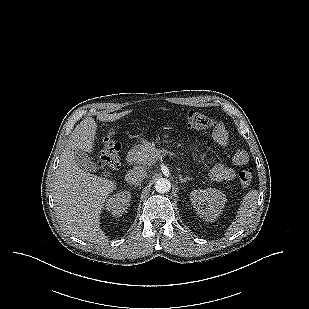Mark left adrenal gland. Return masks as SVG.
I'll use <instances>...</instances> for the list:
<instances>
[{"mask_svg":"<svg viewBox=\"0 0 309 309\" xmlns=\"http://www.w3.org/2000/svg\"><path fill=\"white\" fill-rule=\"evenodd\" d=\"M190 181V180H192V178H190V177H188V176H186V177H182L181 175H179V181L181 182V183H183V182H186V181Z\"/></svg>","mask_w":309,"mask_h":309,"instance_id":"1","label":"left adrenal gland"}]
</instances>
